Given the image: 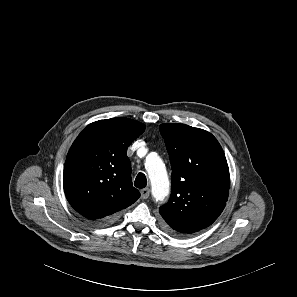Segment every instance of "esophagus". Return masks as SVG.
<instances>
[{"mask_svg":"<svg viewBox=\"0 0 297 297\" xmlns=\"http://www.w3.org/2000/svg\"><path fill=\"white\" fill-rule=\"evenodd\" d=\"M141 193V198L142 199H147L150 196V189L149 188H143L140 191Z\"/></svg>","mask_w":297,"mask_h":297,"instance_id":"34e87169","label":"esophagus"}]
</instances>
